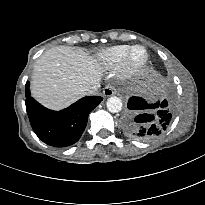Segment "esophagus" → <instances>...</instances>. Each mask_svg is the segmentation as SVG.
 <instances>
[{"instance_id":"34e87169","label":"esophagus","mask_w":205,"mask_h":205,"mask_svg":"<svg viewBox=\"0 0 205 205\" xmlns=\"http://www.w3.org/2000/svg\"><path fill=\"white\" fill-rule=\"evenodd\" d=\"M115 94V89L112 86H105L103 89V95L106 97L112 96Z\"/></svg>"}]
</instances>
